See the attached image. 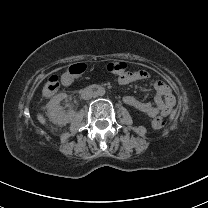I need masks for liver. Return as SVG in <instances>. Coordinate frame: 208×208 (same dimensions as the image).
I'll return each mask as SVG.
<instances>
[{
	"label": "liver",
	"instance_id": "6515ba94",
	"mask_svg": "<svg viewBox=\"0 0 208 208\" xmlns=\"http://www.w3.org/2000/svg\"><path fill=\"white\" fill-rule=\"evenodd\" d=\"M37 119L41 124H45V122H46L45 118L41 114L37 115Z\"/></svg>",
	"mask_w": 208,
	"mask_h": 208
}]
</instances>
